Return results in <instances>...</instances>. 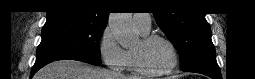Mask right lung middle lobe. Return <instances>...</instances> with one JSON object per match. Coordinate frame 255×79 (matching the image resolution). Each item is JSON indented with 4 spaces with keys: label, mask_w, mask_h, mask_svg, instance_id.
Returning a JSON list of instances; mask_svg holds the SVG:
<instances>
[{
    "label": "right lung middle lobe",
    "mask_w": 255,
    "mask_h": 79,
    "mask_svg": "<svg viewBox=\"0 0 255 79\" xmlns=\"http://www.w3.org/2000/svg\"><path fill=\"white\" fill-rule=\"evenodd\" d=\"M105 26L68 21L46 22L36 62L52 58H71L90 64L101 63L100 38Z\"/></svg>",
    "instance_id": "1"
}]
</instances>
